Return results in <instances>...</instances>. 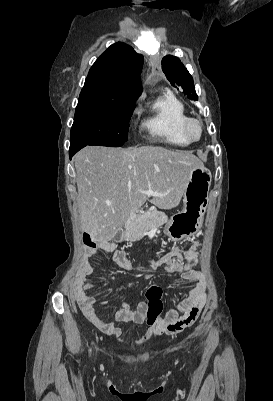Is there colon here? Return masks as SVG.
I'll list each match as a JSON object with an SVG mask.
<instances>
[{"label":"colon","instance_id":"obj_1","mask_svg":"<svg viewBox=\"0 0 273 401\" xmlns=\"http://www.w3.org/2000/svg\"><path fill=\"white\" fill-rule=\"evenodd\" d=\"M96 251L91 249L87 251L88 257H95ZM91 264L88 261L83 262L82 267L79 268V275L81 278H75L72 281L73 286L82 288H73V297H95L97 290L94 284H87L86 276L91 275ZM163 289L159 285H151L146 289V296L148 298V306L145 312V321L148 326H154L163 315Z\"/></svg>","mask_w":273,"mask_h":401}]
</instances>
